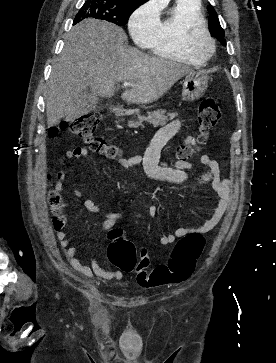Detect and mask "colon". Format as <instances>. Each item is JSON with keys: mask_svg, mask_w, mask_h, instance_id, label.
<instances>
[{"mask_svg": "<svg viewBox=\"0 0 276 363\" xmlns=\"http://www.w3.org/2000/svg\"><path fill=\"white\" fill-rule=\"evenodd\" d=\"M219 119L220 110L218 102L214 98L202 100L197 114L199 139L201 142L206 141L208 134L215 128ZM100 120L99 113L89 112L74 120L63 122L59 127L51 128L49 135L55 137L60 130L68 131L85 138L91 150L114 157L117 153L115 147L109 145L102 137L95 134ZM193 153L194 150L185 145L179 146L176 150V156L181 161L188 160L192 157ZM49 204L53 212V227L56 231H60L65 225V216L64 203L59 193L56 191L50 192ZM119 234L120 229L111 230V243L107 248V257L114 266L124 272L135 270L137 272V283L144 288L175 285L189 279L205 245V239L202 234H188L175 244L166 264L156 266L148 272L150 259L147 251L143 249L138 258L134 243L119 239Z\"/></svg>", "mask_w": 276, "mask_h": 363, "instance_id": "colon-1", "label": "colon"}]
</instances>
